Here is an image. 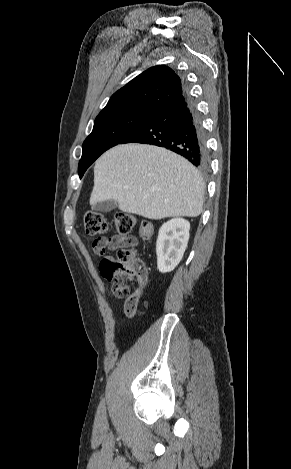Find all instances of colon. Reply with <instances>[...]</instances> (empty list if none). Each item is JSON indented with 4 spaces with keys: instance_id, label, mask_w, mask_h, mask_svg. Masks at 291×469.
I'll list each match as a JSON object with an SVG mask.
<instances>
[{
    "instance_id": "colon-1",
    "label": "colon",
    "mask_w": 291,
    "mask_h": 469,
    "mask_svg": "<svg viewBox=\"0 0 291 469\" xmlns=\"http://www.w3.org/2000/svg\"><path fill=\"white\" fill-rule=\"evenodd\" d=\"M137 225L138 218L127 212L117 213L111 224L101 213L88 211L84 214L86 234L93 238L95 252L103 255L100 271L112 284V294L117 298H125L124 311L127 317L134 316L141 295V291L133 285L146 276V268L137 257L135 242L130 237ZM110 229L113 234L106 236ZM153 231L154 226L150 221L140 223L139 233L143 240H149ZM108 246L118 248L115 256L104 255Z\"/></svg>"
}]
</instances>
